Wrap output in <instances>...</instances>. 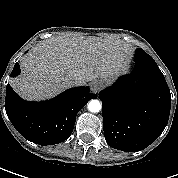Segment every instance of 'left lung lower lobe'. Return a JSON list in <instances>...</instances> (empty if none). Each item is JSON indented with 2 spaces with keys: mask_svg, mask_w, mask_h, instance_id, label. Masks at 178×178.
<instances>
[{
  "mask_svg": "<svg viewBox=\"0 0 178 178\" xmlns=\"http://www.w3.org/2000/svg\"><path fill=\"white\" fill-rule=\"evenodd\" d=\"M138 80L135 84L133 80ZM106 142L114 149L136 152L152 144L166 127L171 94L154 59L135 57V69L99 93Z\"/></svg>",
  "mask_w": 178,
  "mask_h": 178,
  "instance_id": "0a47b994",
  "label": "left lung lower lobe"
}]
</instances>
